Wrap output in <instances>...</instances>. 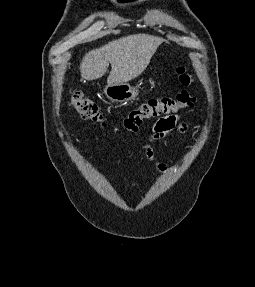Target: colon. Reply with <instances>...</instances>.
Here are the masks:
<instances>
[{
  "instance_id": "colon-1",
  "label": "colon",
  "mask_w": 255,
  "mask_h": 287,
  "mask_svg": "<svg viewBox=\"0 0 255 287\" xmlns=\"http://www.w3.org/2000/svg\"><path fill=\"white\" fill-rule=\"evenodd\" d=\"M177 74L184 88L192 86L194 78L185 67H178ZM194 102L195 98L188 90H182L175 98L149 99L126 115L122 122L123 128L131 133L137 132L145 120L176 112L179 109L192 106ZM69 103L83 119L105 124L98 104L81 91H72Z\"/></svg>"
}]
</instances>
